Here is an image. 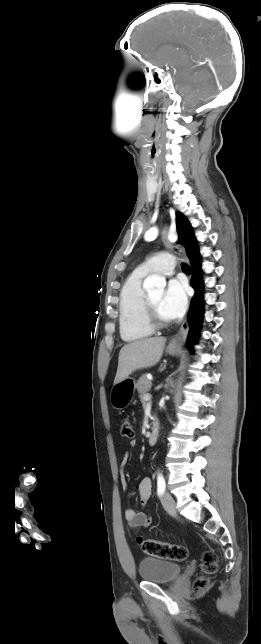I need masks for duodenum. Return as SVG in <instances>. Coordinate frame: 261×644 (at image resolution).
<instances>
[{
  "label": "duodenum",
  "instance_id": "obj_1",
  "mask_svg": "<svg viewBox=\"0 0 261 644\" xmlns=\"http://www.w3.org/2000/svg\"><path fill=\"white\" fill-rule=\"evenodd\" d=\"M159 432H160L159 423L155 422L148 435V443L150 445H154L157 442L159 437Z\"/></svg>",
  "mask_w": 261,
  "mask_h": 644
}]
</instances>
